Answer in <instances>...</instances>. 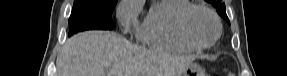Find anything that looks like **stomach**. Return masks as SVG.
<instances>
[{
	"mask_svg": "<svg viewBox=\"0 0 287 76\" xmlns=\"http://www.w3.org/2000/svg\"><path fill=\"white\" fill-rule=\"evenodd\" d=\"M183 76H204L202 69L195 63H190Z\"/></svg>",
	"mask_w": 287,
	"mask_h": 76,
	"instance_id": "0dacf381",
	"label": "stomach"
}]
</instances>
